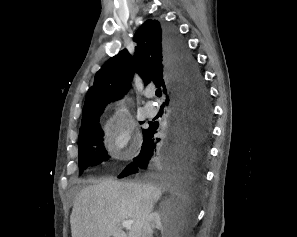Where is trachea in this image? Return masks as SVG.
I'll return each mask as SVG.
<instances>
[{
  "mask_svg": "<svg viewBox=\"0 0 297 237\" xmlns=\"http://www.w3.org/2000/svg\"><path fill=\"white\" fill-rule=\"evenodd\" d=\"M156 96H158V97H161V96H162L161 88H158V89L156 90Z\"/></svg>",
  "mask_w": 297,
  "mask_h": 237,
  "instance_id": "trachea-1",
  "label": "trachea"
}]
</instances>
